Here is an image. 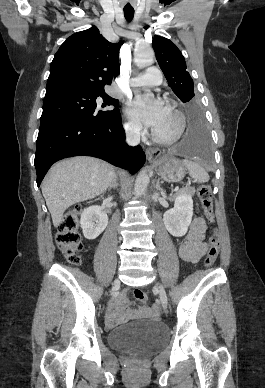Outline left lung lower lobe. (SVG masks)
Here are the masks:
<instances>
[{"instance_id": "obj_1", "label": "left lung lower lobe", "mask_w": 265, "mask_h": 388, "mask_svg": "<svg viewBox=\"0 0 265 388\" xmlns=\"http://www.w3.org/2000/svg\"><path fill=\"white\" fill-rule=\"evenodd\" d=\"M187 128L178 152L201 161H210V138L200 108H191L186 113Z\"/></svg>"}]
</instances>
